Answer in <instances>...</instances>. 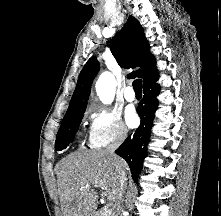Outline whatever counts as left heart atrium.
Listing matches in <instances>:
<instances>
[{"label": "left heart atrium", "instance_id": "39dd6f15", "mask_svg": "<svg viewBox=\"0 0 221 216\" xmlns=\"http://www.w3.org/2000/svg\"><path fill=\"white\" fill-rule=\"evenodd\" d=\"M125 118H126V122L129 125V127L134 128L139 123L138 115L136 114V111H135V109L133 107H129L126 110Z\"/></svg>", "mask_w": 221, "mask_h": 216}]
</instances>
